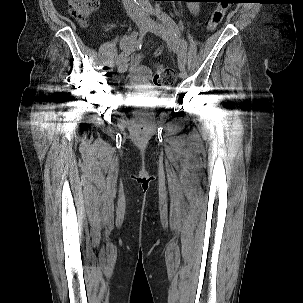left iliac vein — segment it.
Masks as SVG:
<instances>
[{"label":"left iliac vein","mask_w":303,"mask_h":303,"mask_svg":"<svg viewBox=\"0 0 303 303\" xmlns=\"http://www.w3.org/2000/svg\"><path fill=\"white\" fill-rule=\"evenodd\" d=\"M148 28L154 34L167 40L172 45L173 52H178L181 46V39L175 34L174 30L169 28L165 23H160L152 19L148 20ZM180 77L185 76V66H179Z\"/></svg>","instance_id":"left-iliac-vein-1"}]
</instances>
